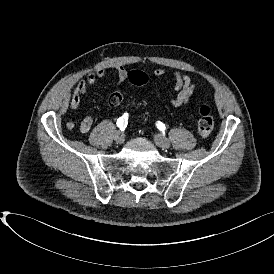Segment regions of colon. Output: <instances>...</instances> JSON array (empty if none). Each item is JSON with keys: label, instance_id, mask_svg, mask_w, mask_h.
Segmentation results:
<instances>
[{"label": "colon", "instance_id": "obj_1", "mask_svg": "<svg viewBox=\"0 0 274 274\" xmlns=\"http://www.w3.org/2000/svg\"><path fill=\"white\" fill-rule=\"evenodd\" d=\"M127 77L131 83L137 86L144 85L148 80L147 74L140 70L130 71ZM124 96V92L118 89L115 90L112 94H109L106 100L109 105L116 107L121 104V102L124 99ZM213 125L214 120L211 115L210 108L205 104L201 105L199 108V119L197 123L198 131L204 135L210 134L213 130ZM73 126V121L70 120L67 122L68 129H72Z\"/></svg>", "mask_w": 274, "mask_h": 274}]
</instances>
